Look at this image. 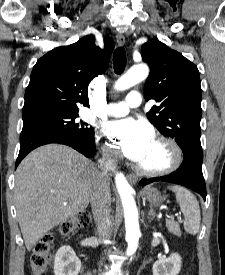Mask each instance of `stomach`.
<instances>
[{
  "label": "stomach",
  "instance_id": "0dacf381",
  "mask_svg": "<svg viewBox=\"0 0 225 275\" xmlns=\"http://www.w3.org/2000/svg\"><path fill=\"white\" fill-rule=\"evenodd\" d=\"M146 199L153 205L158 206L163 201V198L158 190L150 188L146 192Z\"/></svg>",
  "mask_w": 225,
  "mask_h": 275
}]
</instances>
